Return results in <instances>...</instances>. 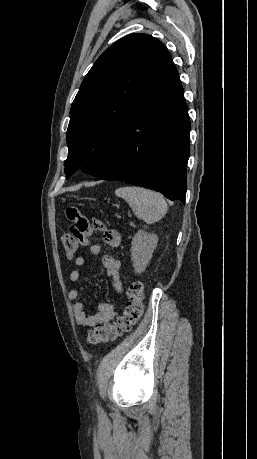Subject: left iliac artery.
<instances>
[{
  "label": "left iliac artery",
  "instance_id": "left-iliac-artery-1",
  "mask_svg": "<svg viewBox=\"0 0 257 459\" xmlns=\"http://www.w3.org/2000/svg\"><path fill=\"white\" fill-rule=\"evenodd\" d=\"M97 411H98V412H101V411H102V409H101V407H100L99 405H97Z\"/></svg>",
  "mask_w": 257,
  "mask_h": 459
}]
</instances>
